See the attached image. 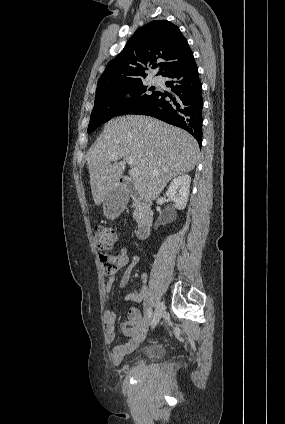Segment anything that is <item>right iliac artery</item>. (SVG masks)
Masks as SVG:
<instances>
[{"instance_id":"right-iliac-artery-1","label":"right iliac artery","mask_w":285,"mask_h":424,"mask_svg":"<svg viewBox=\"0 0 285 424\" xmlns=\"http://www.w3.org/2000/svg\"><path fill=\"white\" fill-rule=\"evenodd\" d=\"M151 316H152V309L150 308L149 311H148V318L150 319Z\"/></svg>"}]
</instances>
